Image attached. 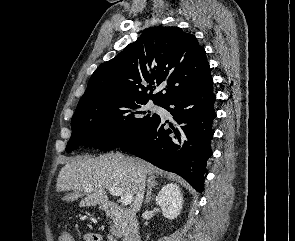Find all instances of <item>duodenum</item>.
<instances>
[{
  "instance_id": "duodenum-1",
  "label": "duodenum",
  "mask_w": 295,
  "mask_h": 241,
  "mask_svg": "<svg viewBox=\"0 0 295 241\" xmlns=\"http://www.w3.org/2000/svg\"><path fill=\"white\" fill-rule=\"evenodd\" d=\"M103 210L110 218L121 219L126 223L123 241H141L140 230L131 208H123L116 203H104Z\"/></svg>"
}]
</instances>
